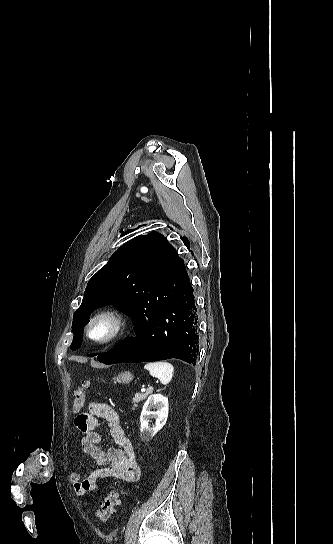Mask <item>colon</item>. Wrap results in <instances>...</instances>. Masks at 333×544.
Masks as SVG:
<instances>
[{
    "label": "colon",
    "instance_id": "1",
    "mask_svg": "<svg viewBox=\"0 0 333 544\" xmlns=\"http://www.w3.org/2000/svg\"><path fill=\"white\" fill-rule=\"evenodd\" d=\"M90 390V384L88 381H83L81 387L75 392L73 400V412L79 413L84 406L85 398ZM120 502L119 489H113L101 502L100 509L97 512V517L102 523L108 522L113 518L115 513V507Z\"/></svg>",
    "mask_w": 333,
    "mask_h": 544
}]
</instances>
